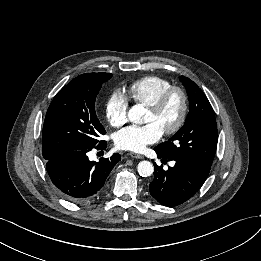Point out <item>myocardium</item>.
Masks as SVG:
<instances>
[{"mask_svg":"<svg viewBox=\"0 0 261 261\" xmlns=\"http://www.w3.org/2000/svg\"><path fill=\"white\" fill-rule=\"evenodd\" d=\"M175 95L179 96L181 100V110L176 122L171 127L162 131L165 135H173L177 133L186 121L189 110V99L186 91L180 86H172L166 90L153 105L148 106V110L152 114L159 115L163 112L169 101Z\"/></svg>","mask_w":261,"mask_h":261,"instance_id":"myocardium-1","label":"myocardium"}]
</instances>
